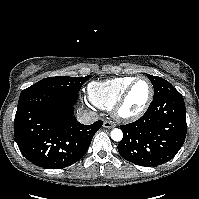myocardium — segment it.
Listing matches in <instances>:
<instances>
[{
  "instance_id": "f54148a6",
  "label": "myocardium",
  "mask_w": 199,
  "mask_h": 199,
  "mask_svg": "<svg viewBox=\"0 0 199 199\" xmlns=\"http://www.w3.org/2000/svg\"><path fill=\"white\" fill-rule=\"evenodd\" d=\"M139 80H144V81L148 82L149 87H150L149 96H148L147 100L145 101V103L143 104V106L139 110H137L136 112H132V113L126 112L124 110V106L126 104L127 98L129 96L132 88L134 87V85ZM153 97H154L153 83L146 76H138L131 81V83L127 86V88L124 90V92L121 94V96L118 98V100L116 101V103L112 107L113 108V111H112L113 115L118 120L125 121V122H131V121L138 120L148 110V108H149V106H150V104L153 100Z\"/></svg>"
}]
</instances>
